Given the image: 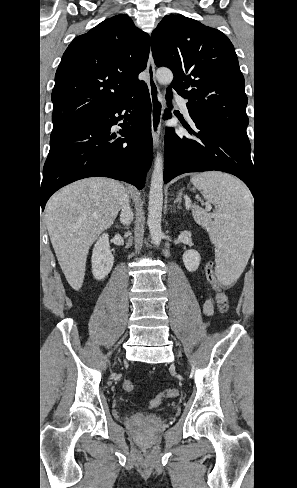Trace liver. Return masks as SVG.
<instances>
[{"mask_svg":"<svg viewBox=\"0 0 297 488\" xmlns=\"http://www.w3.org/2000/svg\"><path fill=\"white\" fill-rule=\"evenodd\" d=\"M125 196L120 182L93 177L62 188L48 201L45 219L50 240L73 289L82 287L89 249L114 223Z\"/></svg>","mask_w":297,"mask_h":488,"instance_id":"obj_1","label":"liver"}]
</instances>
